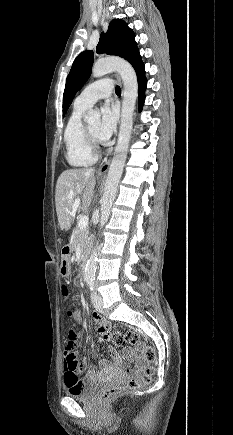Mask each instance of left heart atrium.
<instances>
[{
  "label": "left heart atrium",
  "mask_w": 233,
  "mask_h": 435,
  "mask_svg": "<svg viewBox=\"0 0 233 435\" xmlns=\"http://www.w3.org/2000/svg\"><path fill=\"white\" fill-rule=\"evenodd\" d=\"M101 122L97 135V139L107 144L109 143L111 137L116 131L117 122H118V111L116 107L111 106L110 104H105L101 110Z\"/></svg>",
  "instance_id": "39dd6f15"
}]
</instances>
